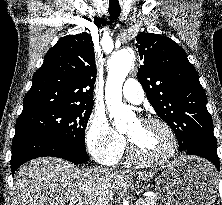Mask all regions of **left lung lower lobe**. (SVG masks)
I'll list each match as a JSON object with an SVG mask.
<instances>
[{
  "label": "left lung lower lobe",
  "mask_w": 222,
  "mask_h": 205,
  "mask_svg": "<svg viewBox=\"0 0 222 205\" xmlns=\"http://www.w3.org/2000/svg\"><path fill=\"white\" fill-rule=\"evenodd\" d=\"M183 152L189 155H196L205 158L213 163L218 171L220 170V161L217 155V151L214 149H209L203 146H192L183 150Z\"/></svg>",
  "instance_id": "1"
}]
</instances>
